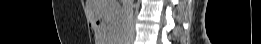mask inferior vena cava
I'll return each instance as SVG.
<instances>
[{"label": "inferior vena cava", "mask_w": 261, "mask_h": 44, "mask_svg": "<svg viewBox=\"0 0 261 44\" xmlns=\"http://www.w3.org/2000/svg\"><path fill=\"white\" fill-rule=\"evenodd\" d=\"M133 0H129L128 6L125 8V24H124V35L125 39H132L134 35V25H133Z\"/></svg>", "instance_id": "602c4592"}]
</instances>
